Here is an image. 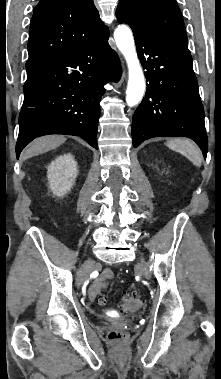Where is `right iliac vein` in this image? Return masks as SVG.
Masks as SVG:
<instances>
[{
    "mask_svg": "<svg viewBox=\"0 0 221 379\" xmlns=\"http://www.w3.org/2000/svg\"><path fill=\"white\" fill-rule=\"evenodd\" d=\"M93 262L92 260H87L83 267L81 268L78 277H77V284L80 286L82 283L87 279L89 276L91 270H92Z\"/></svg>",
    "mask_w": 221,
    "mask_h": 379,
    "instance_id": "1",
    "label": "right iliac vein"
}]
</instances>
